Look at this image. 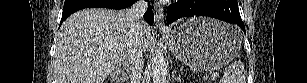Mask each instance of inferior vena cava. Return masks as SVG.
Returning <instances> with one entry per match:
<instances>
[{
    "instance_id": "1",
    "label": "inferior vena cava",
    "mask_w": 307,
    "mask_h": 83,
    "mask_svg": "<svg viewBox=\"0 0 307 83\" xmlns=\"http://www.w3.org/2000/svg\"><path fill=\"white\" fill-rule=\"evenodd\" d=\"M147 2L144 0L137 1L129 10L130 20V37L127 46L126 56L130 66V77L134 83H140L144 67V57L142 48V32L146 27L143 21V15L147 10Z\"/></svg>"
}]
</instances>
